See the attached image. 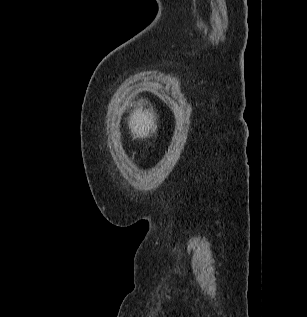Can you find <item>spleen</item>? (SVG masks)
Returning <instances> with one entry per match:
<instances>
[{
  "label": "spleen",
  "instance_id": "obj_1",
  "mask_svg": "<svg viewBox=\"0 0 307 317\" xmlns=\"http://www.w3.org/2000/svg\"><path fill=\"white\" fill-rule=\"evenodd\" d=\"M150 107L149 106H130V113H141L137 114V117L134 119L137 125L140 123L141 129H162V122H142L143 120L150 118ZM142 139H156V132H142Z\"/></svg>",
  "mask_w": 307,
  "mask_h": 317
}]
</instances>
